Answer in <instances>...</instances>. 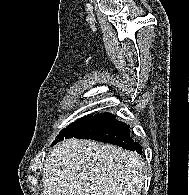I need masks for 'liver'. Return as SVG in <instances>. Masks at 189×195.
I'll return each mask as SVG.
<instances>
[{"label":"liver","mask_w":189,"mask_h":195,"mask_svg":"<svg viewBox=\"0 0 189 195\" xmlns=\"http://www.w3.org/2000/svg\"><path fill=\"white\" fill-rule=\"evenodd\" d=\"M144 161L110 144L75 138L55 146L43 169L45 195H139Z\"/></svg>","instance_id":"6515ba94"}]
</instances>
